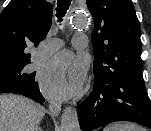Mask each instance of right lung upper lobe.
<instances>
[{
  "instance_id": "cb5924a9",
  "label": "right lung upper lobe",
  "mask_w": 151,
  "mask_h": 131,
  "mask_svg": "<svg viewBox=\"0 0 151 131\" xmlns=\"http://www.w3.org/2000/svg\"><path fill=\"white\" fill-rule=\"evenodd\" d=\"M53 7L45 0H12L0 14V56L25 57L45 39Z\"/></svg>"
}]
</instances>
